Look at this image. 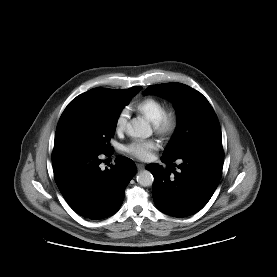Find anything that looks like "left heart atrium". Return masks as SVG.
I'll list each match as a JSON object with an SVG mask.
<instances>
[{
	"label": "left heart atrium",
	"mask_w": 277,
	"mask_h": 277,
	"mask_svg": "<svg viewBox=\"0 0 277 277\" xmlns=\"http://www.w3.org/2000/svg\"><path fill=\"white\" fill-rule=\"evenodd\" d=\"M159 148L158 141L154 139L150 140H136L128 144L125 150L132 156L141 159L148 160L152 152Z\"/></svg>",
	"instance_id": "left-heart-atrium-1"
}]
</instances>
